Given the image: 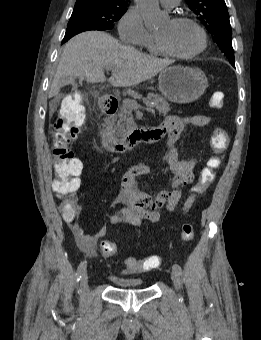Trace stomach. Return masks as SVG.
I'll return each instance as SVG.
<instances>
[{"instance_id": "obj_1", "label": "stomach", "mask_w": 261, "mask_h": 340, "mask_svg": "<svg viewBox=\"0 0 261 340\" xmlns=\"http://www.w3.org/2000/svg\"><path fill=\"white\" fill-rule=\"evenodd\" d=\"M159 90L168 100L188 104L198 100L208 87L205 73L193 67L172 66L161 71Z\"/></svg>"}]
</instances>
